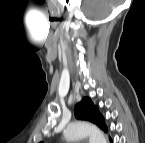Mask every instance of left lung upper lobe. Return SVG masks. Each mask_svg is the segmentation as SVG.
<instances>
[{
  "label": "left lung upper lobe",
  "mask_w": 145,
  "mask_h": 143,
  "mask_svg": "<svg viewBox=\"0 0 145 143\" xmlns=\"http://www.w3.org/2000/svg\"><path fill=\"white\" fill-rule=\"evenodd\" d=\"M75 117L77 119L91 121L104 131H107L103 117L89 98H83L82 101L76 105Z\"/></svg>",
  "instance_id": "obj_1"
}]
</instances>
